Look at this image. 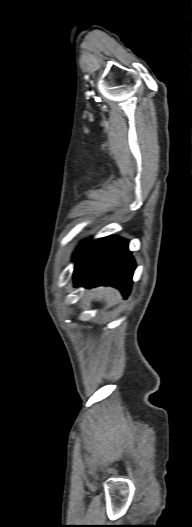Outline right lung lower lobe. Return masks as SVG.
Listing matches in <instances>:
<instances>
[{"label":"right lung lower lobe","instance_id":"1","mask_svg":"<svg viewBox=\"0 0 192 527\" xmlns=\"http://www.w3.org/2000/svg\"><path fill=\"white\" fill-rule=\"evenodd\" d=\"M75 287L109 285L127 297L131 290L135 262L124 239L108 236L85 240L74 254Z\"/></svg>","mask_w":192,"mask_h":527}]
</instances>
